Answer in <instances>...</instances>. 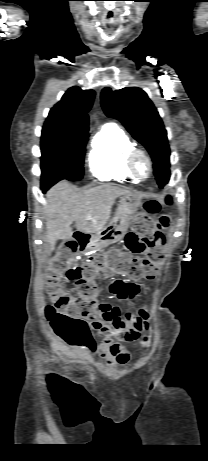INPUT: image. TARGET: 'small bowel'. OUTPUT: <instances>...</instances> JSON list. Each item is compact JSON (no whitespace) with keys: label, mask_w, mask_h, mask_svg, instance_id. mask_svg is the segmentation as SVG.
Returning <instances> with one entry per match:
<instances>
[{"label":"small bowel","mask_w":208,"mask_h":461,"mask_svg":"<svg viewBox=\"0 0 208 461\" xmlns=\"http://www.w3.org/2000/svg\"><path fill=\"white\" fill-rule=\"evenodd\" d=\"M108 291L118 299L133 300L139 294L140 286L135 281L116 279L109 284ZM149 316L147 308L142 309L138 315L128 313L123 316L118 307L107 303L100 304L87 323L89 329L101 339V343L97 345L92 339L83 348L90 354L106 358L110 364H126L129 353L114 340L127 342L137 340L141 331L146 328Z\"/></svg>","instance_id":"c3829d8e"}]
</instances>
